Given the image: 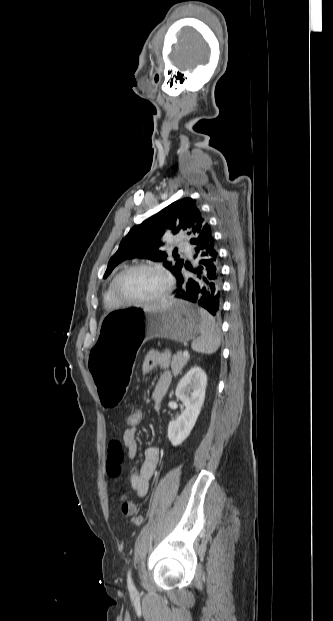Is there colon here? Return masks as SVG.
Segmentation results:
<instances>
[{"label": "colon", "instance_id": "5ec220e1", "mask_svg": "<svg viewBox=\"0 0 333 621\" xmlns=\"http://www.w3.org/2000/svg\"><path fill=\"white\" fill-rule=\"evenodd\" d=\"M126 421L128 426H138L142 421V411L137 408L130 409L126 415ZM121 510L125 516L130 518L134 525L141 524L142 517L138 513L134 503L124 498L121 504Z\"/></svg>", "mask_w": 333, "mask_h": 621}]
</instances>
